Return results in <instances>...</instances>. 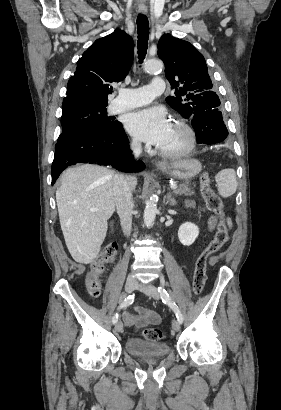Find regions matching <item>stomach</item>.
Returning a JSON list of instances; mask_svg holds the SVG:
<instances>
[{
	"label": "stomach",
	"mask_w": 281,
	"mask_h": 410,
	"mask_svg": "<svg viewBox=\"0 0 281 410\" xmlns=\"http://www.w3.org/2000/svg\"><path fill=\"white\" fill-rule=\"evenodd\" d=\"M159 169L174 178L189 180L201 171L202 165L197 159L188 158L167 162Z\"/></svg>",
	"instance_id": "obj_1"
}]
</instances>
